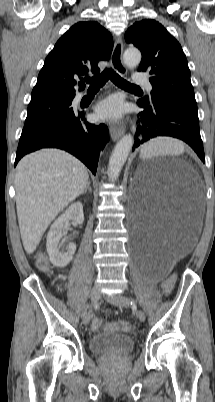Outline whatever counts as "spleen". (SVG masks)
Wrapping results in <instances>:
<instances>
[{
	"instance_id": "spleen-1",
	"label": "spleen",
	"mask_w": 215,
	"mask_h": 402,
	"mask_svg": "<svg viewBox=\"0 0 215 402\" xmlns=\"http://www.w3.org/2000/svg\"><path fill=\"white\" fill-rule=\"evenodd\" d=\"M182 149V145L177 141L168 138H159L145 145L141 155L149 157L156 154L175 153Z\"/></svg>"
}]
</instances>
